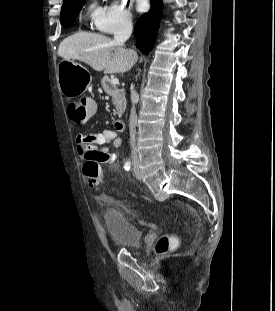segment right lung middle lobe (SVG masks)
<instances>
[{
  "mask_svg": "<svg viewBox=\"0 0 275 311\" xmlns=\"http://www.w3.org/2000/svg\"><path fill=\"white\" fill-rule=\"evenodd\" d=\"M85 0H64L61 7V24L68 28L72 26Z\"/></svg>",
  "mask_w": 275,
  "mask_h": 311,
  "instance_id": "dd1d6c3e",
  "label": "right lung middle lobe"
}]
</instances>
